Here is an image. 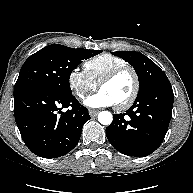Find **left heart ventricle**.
Returning <instances> with one entry per match:
<instances>
[{"label": "left heart ventricle", "instance_id": "obj_1", "mask_svg": "<svg viewBox=\"0 0 193 193\" xmlns=\"http://www.w3.org/2000/svg\"><path fill=\"white\" fill-rule=\"evenodd\" d=\"M134 87V79L130 72L120 74L113 81L103 85L100 90L107 93L115 105L126 101L131 95Z\"/></svg>", "mask_w": 193, "mask_h": 193}]
</instances>
